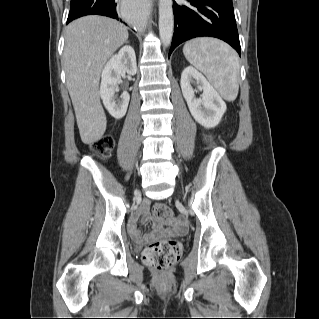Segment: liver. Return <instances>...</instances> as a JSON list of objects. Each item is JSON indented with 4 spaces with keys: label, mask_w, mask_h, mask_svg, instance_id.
<instances>
[{
    "label": "liver",
    "mask_w": 319,
    "mask_h": 319,
    "mask_svg": "<svg viewBox=\"0 0 319 319\" xmlns=\"http://www.w3.org/2000/svg\"><path fill=\"white\" fill-rule=\"evenodd\" d=\"M127 39V27L104 16H85L66 28L63 52L66 85L85 144L98 141L106 130L98 90L100 74L109 57Z\"/></svg>",
    "instance_id": "1"
}]
</instances>
